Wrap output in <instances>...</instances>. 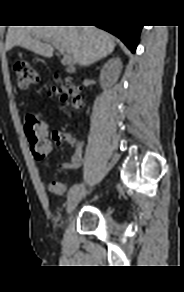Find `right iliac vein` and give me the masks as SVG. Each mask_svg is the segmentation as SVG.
<instances>
[{
  "label": "right iliac vein",
  "mask_w": 184,
  "mask_h": 292,
  "mask_svg": "<svg viewBox=\"0 0 184 292\" xmlns=\"http://www.w3.org/2000/svg\"><path fill=\"white\" fill-rule=\"evenodd\" d=\"M86 195V190H79L72 195L69 196L67 200V206H66V211L67 213H71L78 203L81 201V199Z\"/></svg>",
  "instance_id": "63e3f726"
}]
</instances>
